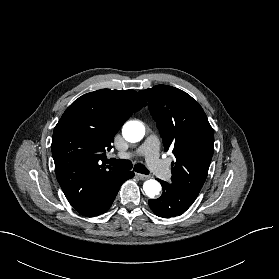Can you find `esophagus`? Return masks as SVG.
<instances>
[{"mask_svg":"<svg viewBox=\"0 0 279 279\" xmlns=\"http://www.w3.org/2000/svg\"><path fill=\"white\" fill-rule=\"evenodd\" d=\"M136 175H137V177H138L139 179H141V180H146V179H149V178H150L149 175H144V174H139V173H137Z\"/></svg>","mask_w":279,"mask_h":279,"instance_id":"1","label":"esophagus"}]
</instances>
